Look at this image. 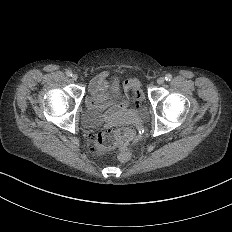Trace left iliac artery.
Here are the masks:
<instances>
[{
    "label": "left iliac artery",
    "mask_w": 232,
    "mask_h": 232,
    "mask_svg": "<svg viewBox=\"0 0 232 232\" xmlns=\"http://www.w3.org/2000/svg\"><path fill=\"white\" fill-rule=\"evenodd\" d=\"M165 80L166 81H171L172 80V75L171 74H166L165 75Z\"/></svg>",
    "instance_id": "1"
}]
</instances>
